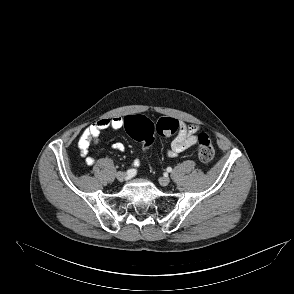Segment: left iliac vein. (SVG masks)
I'll use <instances>...</instances> for the list:
<instances>
[{"mask_svg":"<svg viewBox=\"0 0 294 294\" xmlns=\"http://www.w3.org/2000/svg\"><path fill=\"white\" fill-rule=\"evenodd\" d=\"M159 183L162 186H167L170 183V179L168 177L159 178Z\"/></svg>","mask_w":294,"mask_h":294,"instance_id":"4c4485c4","label":"left iliac vein"}]
</instances>
